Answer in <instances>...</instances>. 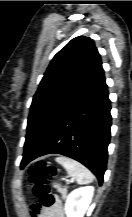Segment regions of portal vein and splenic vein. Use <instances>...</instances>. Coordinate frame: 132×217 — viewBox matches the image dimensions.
I'll return each instance as SVG.
<instances>
[{
    "mask_svg": "<svg viewBox=\"0 0 132 217\" xmlns=\"http://www.w3.org/2000/svg\"><path fill=\"white\" fill-rule=\"evenodd\" d=\"M65 181H66V182H69L70 180H69V179H65Z\"/></svg>",
    "mask_w": 132,
    "mask_h": 217,
    "instance_id": "portal-vein-and-splenic-vein-1",
    "label": "portal vein and splenic vein"
}]
</instances>
